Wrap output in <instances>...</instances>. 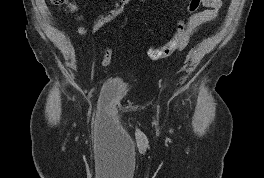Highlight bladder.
Returning a JSON list of instances; mask_svg holds the SVG:
<instances>
[{"instance_id": "1", "label": "bladder", "mask_w": 264, "mask_h": 178, "mask_svg": "<svg viewBox=\"0 0 264 178\" xmlns=\"http://www.w3.org/2000/svg\"><path fill=\"white\" fill-rule=\"evenodd\" d=\"M130 91V85L121 76L114 75L106 79L102 87V96L109 99H121Z\"/></svg>"}]
</instances>
